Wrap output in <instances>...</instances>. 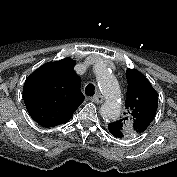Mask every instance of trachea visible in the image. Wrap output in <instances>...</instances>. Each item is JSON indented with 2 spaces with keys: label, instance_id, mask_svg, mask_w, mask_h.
Masks as SVG:
<instances>
[{
  "label": "trachea",
  "instance_id": "trachea-1",
  "mask_svg": "<svg viewBox=\"0 0 177 177\" xmlns=\"http://www.w3.org/2000/svg\"><path fill=\"white\" fill-rule=\"evenodd\" d=\"M85 93L88 96H93L95 94V87L93 84H88L85 88Z\"/></svg>",
  "mask_w": 177,
  "mask_h": 177
}]
</instances>
